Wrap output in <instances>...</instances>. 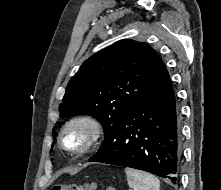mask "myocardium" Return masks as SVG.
I'll return each instance as SVG.
<instances>
[{"label": "myocardium", "mask_w": 221, "mask_h": 190, "mask_svg": "<svg viewBox=\"0 0 221 190\" xmlns=\"http://www.w3.org/2000/svg\"><path fill=\"white\" fill-rule=\"evenodd\" d=\"M74 126H82L86 129L85 142L76 148L68 146L65 140L66 133ZM101 129V123L93 115L86 113L77 114L68 119L63 125L60 131L59 143L63 149L70 153L84 154L94 147L101 134Z\"/></svg>", "instance_id": "f54148a6"}]
</instances>
